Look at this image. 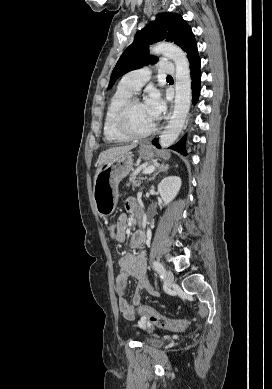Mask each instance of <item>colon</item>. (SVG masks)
<instances>
[{"label": "colon", "instance_id": "5ec220e1", "mask_svg": "<svg viewBox=\"0 0 272 389\" xmlns=\"http://www.w3.org/2000/svg\"><path fill=\"white\" fill-rule=\"evenodd\" d=\"M109 235L112 239L118 234V228L116 224H111L108 227ZM139 312L147 319L149 324H152L158 328L170 330V331H181L185 329L188 325L186 319L172 320L168 319L159 313H157L153 308L147 305H142L139 307Z\"/></svg>", "mask_w": 272, "mask_h": 389}]
</instances>
